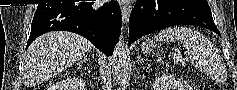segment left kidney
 <instances>
[{
  "mask_svg": "<svg viewBox=\"0 0 237 90\" xmlns=\"http://www.w3.org/2000/svg\"><path fill=\"white\" fill-rule=\"evenodd\" d=\"M153 90H192V88L187 82H182L179 78L163 74L160 78H156Z\"/></svg>",
  "mask_w": 237,
  "mask_h": 90,
  "instance_id": "1",
  "label": "left kidney"
}]
</instances>
